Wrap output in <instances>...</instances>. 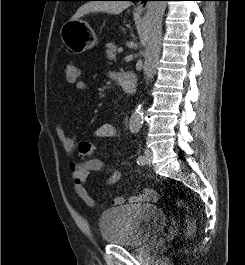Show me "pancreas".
Instances as JSON below:
<instances>
[{
    "label": "pancreas",
    "mask_w": 245,
    "mask_h": 265,
    "mask_svg": "<svg viewBox=\"0 0 245 265\" xmlns=\"http://www.w3.org/2000/svg\"><path fill=\"white\" fill-rule=\"evenodd\" d=\"M106 48V58L108 60L115 61L117 46L111 42L106 44Z\"/></svg>",
    "instance_id": "obj_1"
}]
</instances>
